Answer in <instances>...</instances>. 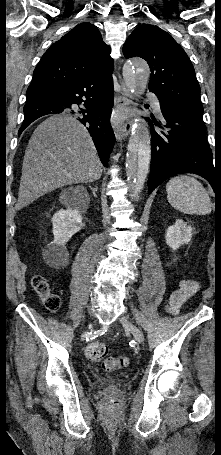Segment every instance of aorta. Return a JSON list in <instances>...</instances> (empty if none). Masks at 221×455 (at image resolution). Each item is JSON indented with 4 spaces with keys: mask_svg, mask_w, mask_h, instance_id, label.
I'll return each instance as SVG.
<instances>
[{
    "mask_svg": "<svg viewBox=\"0 0 221 455\" xmlns=\"http://www.w3.org/2000/svg\"><path fill=\"white\" fill-rule=\"evenodd\" d=\"M149 76V66L142 59H129L123 66V78L127 89L131 93H142L148 85ZM150 159V133L144 122L136 119L132 125L126 156L127 181L131 196L136 200L144 187Z\"/></svg>",
    "mask_w": 221,
    "mask_h": 455,
    "instance_id": "762f6f07",
    "label": "aorta"
}]
</instances>
